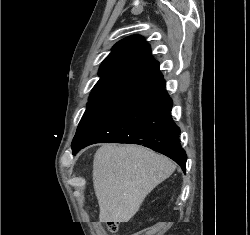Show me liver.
Segmentation results:
<instances>
[{
	"mask_svg": "<svg viewBox=\"0 0 250 235\" xmlns=\"http://www.w3.org/2000/svg\"><path fill=\"white\" fill-rule=\"evenodd\" d=\"M175 170L167 157L136 145L104 144L93 160L101 222H128L145 197Z\"/></svg>",
	"mask_w": 250,
	"mask_h": 235,
	"instance_id": "1",
	"label": "liver"
}]
</instances>
